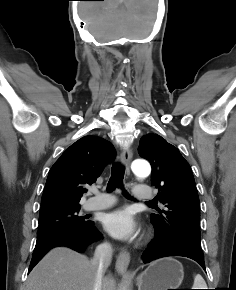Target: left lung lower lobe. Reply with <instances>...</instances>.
I'll return each mask as SVG.
<instances>
[{"instance_id":"left-lung-lower-lobe-1","label":"left lung lower lobe","mask_w":236,"mask_h":290,"mask_svg":"<svg viewBox=\"0 0 236 290\" xmlns=\"http://www.w3.org/2000/svg\"><path fill=\"white\" fill-rule=\"evenodd\" d=\"M166 256H183L195 260L205 270L204 255L200 243L187 237L168 238L161 229L155 228V236L143 253L144 263Z\"/></svg>"}]
</instances>
